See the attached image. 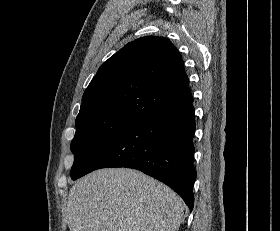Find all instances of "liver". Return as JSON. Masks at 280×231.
<instances>
[{
  "label": "liver",
  "instance_id": "1",
  "mask_svg": "<svg viewBox=\"0 0 280 231\" xmlns=\"http://www.w3.org/2000/svg\"><path fill=\"white\" fill-rule=\"evenodd\" d=\"M183 199L129 167L97 169L74 181L66 201L71 231H177Z\"/></svg>",
  "mask_w": 280,
  "mask_h": 231
}]
</instances>
